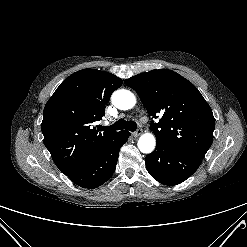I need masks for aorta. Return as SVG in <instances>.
<instances>
[{
  "label": "aorta",
  "mask_w": 247,
  "mask_h": 247,
  "mask_svg": "<svg viewBox=\"0 0 247 247\" xmlns=\"http://www.w3.org/2000/svg\"><path fill=\"white\" fill-rule=\"evenodd\" d=\"M112 103L120 110H129L136 104L134 94L125 89L115 91L111 97ZM138 148L142 153H151L156 146V139L153 134L145 133L138 140Z\"/></svg>",
  "instance_id": "aorta-1"
}]
</instances>
